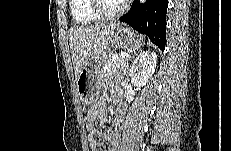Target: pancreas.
<instances>
[{
  "label": "pancreas",
  "instance_id": "obj_1",
  "mask_svg": "<svg viewBox=\"0 0 231 151\" xmlns=\"http://www.w3.org/2000/svg\"><path fill=\"white\" fill-rule=\"evenodd\" d=\"M121 54H112L104 63V66L100 70V76L105 77L112 74H118L125 71L126 58L121 57Z\"/></svg>",
  "mask_w": 231,
  "mask_h": 151
}]
</instances>
